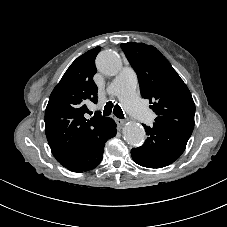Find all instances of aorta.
<instances>
[{
	"label": "aorta",
	"instance_id": "obj_1",
	"mask_svg": "<svg viewBox=\"0 0 227 227\" xmlns=\"http://www.w3.org/2000/svg\"><path fill=\"white\" fill-rule=\"evenodd\" d=\"M98 70L108 76L117 75L122 69L120 56L112 50L101 51L96 59ZM145 130L142 125L129 122L123 128L124 140L132 146H140L145 139Z\"/></svg>",
	"mask_w": 227,
	"mask_h": 227
}]
</instances>
